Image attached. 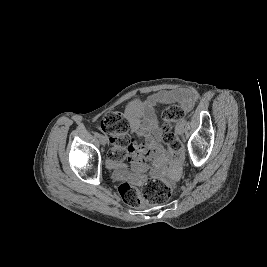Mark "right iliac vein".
I'll return each instance as SVG.
<instances>
[{
	"instance_id": "right-iliac-vein-1",
	"label": "right iliac vein",
	"mask_w": 267,
	"mask_h": 267,
	"mask_svg": "<svg viewBox=\"0 0 267 267\" xmlns=\"http://www.w3.org/2000/svg\"><path fill=\"white\" fill-rule=\"evenodd\" d=\"M100 142L102 145H105L107 143V138L105 136L100 137Z\"/></svg>"
}]
</instances>
